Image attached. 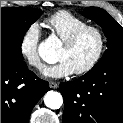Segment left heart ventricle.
Returning <instances> with one entry per match:
<instances>
[{
	"label": "left heart ventricle",
	"mask_w": 123,
	"mask_h": 123,
	"mask_svg": "<svg viewBox=\"0 0 123 123\" xmlns=\"http://www.w3.org/2000/svg\"><path fill=\"white\" fill-rule=\"evenodd\" d=\"M98 37L94 32L84 34L74 46H61L57 53L58 60L67 61L74 69L79 70L86 66L94 57L98 49Z\"/></svg>",
	"instance_id": "left-heart-ventricle-1"
}]
</instances>
